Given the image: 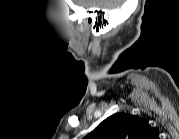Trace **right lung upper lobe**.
I'll return each mask as SVG.
<instances>
[{"label": "right lung upper lobe", "instance_id": "right-lung-upper-lobe-1", "mask_svg": "<svg viewBox=\"0 0 179 139\" xmlns=\"http://www.w3.org/2000/svg\"><path fill=\"white\" fill-rule=\"evenodd\" d=\"M154 129L144 119L129 113H117L103 120L86 139H148Z\"/></svg>", "mask_w": 179, "mask_h": 139}]
</instances>
